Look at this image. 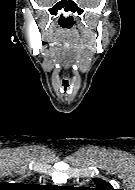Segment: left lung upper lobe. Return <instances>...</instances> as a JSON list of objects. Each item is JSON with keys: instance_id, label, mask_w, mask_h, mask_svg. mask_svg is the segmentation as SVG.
Segmentation results:
<instances>
[{"instance_id": "left-lung-upper-lobe-1", "label": "left lung upper lobe", "mask_w": 135, "mask_h": 190, "mask_svg": "<svg viewBox=\"0 0 135 190\" xmlns=\"http://www.w3.org/2000/svg\"><path fill=\"white\" fill-rule=\"evenodd\" d=\"M93 180L96 185L99 186V188H97L96 190H115L110 183L102 179L94 178Z\"/></svg>"}]
</instances>
